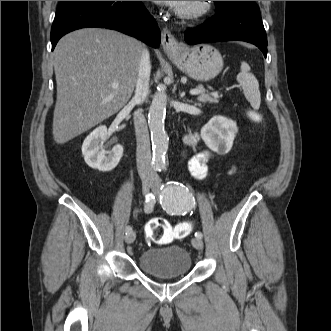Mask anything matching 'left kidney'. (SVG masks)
Returning a JSON list of instances; mask_svg holds the SVG:
<instances>
[{"label": "left kidney", "mask_w": 331, "mask_h": 331, "mask_svg": "<svg viewBox=\"0 0 331 331\" xmlns=\"http://www.w3.org/2000/svg\"><path fill=\"white\" fill-rule=\"evenodd\" d=\"M236 133V123L222 116L211 118L201 129V137L207 147L221 155L231 150Z\"/></svg>", "instance_id": "1"}]
</instances>
